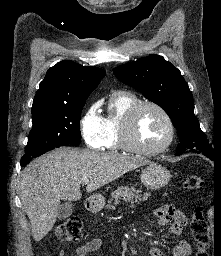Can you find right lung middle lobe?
<instances>
[{"label": "right lung middle lobe", "instance_id": "right-lung-middle-lobe-1", "mask_svg": "<svg viewBox=\"0 0 221 256\" xmlns=\"http://www.w3.org/2000/svg\"><path fill=\"white\" fill-rule=\"evenodd\" d=\"M85 103L32 111L33 126L21 165H27L31 158L54 148L78 146L81 142L80 118Z\"/></svg>", "mask_w": 221, "mask_h": 256}]
</instances>
